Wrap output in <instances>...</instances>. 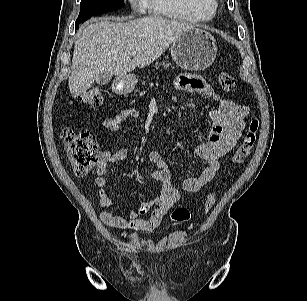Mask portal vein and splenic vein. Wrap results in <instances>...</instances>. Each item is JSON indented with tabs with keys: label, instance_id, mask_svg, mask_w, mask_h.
Instances as JSON below:
<instances>
[{
	"label": "portal vein and splenic vein",
	"instance_id": "1",
	"mask_svg": "<svg viewBox=\"0 0 307 301\" xmlns=\"http://www.w3.org/2000/svg\"><path fill=\"white\" fill-rule=\"evenodd\" d=\"M130 55H131V56H135V55H136V52H135V51H132V52L130 53Z\"/></svg>",
	"mask_w": 307,
	"mask_h": 301
}]
</instances>
